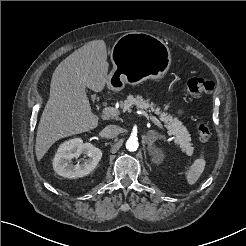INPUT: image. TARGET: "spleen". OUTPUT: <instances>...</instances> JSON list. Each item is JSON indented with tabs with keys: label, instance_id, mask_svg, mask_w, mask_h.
<instances>
[{
	"label": "spleen",
	"instance_id": "spleen-1",
	"mask_svg": "<svg viewBox=\"0 0 246 246\" xmlns=\"http://www.w3.org/2000/svg\"><path fill=\"white\" fill-rule=\"evenodd\" d=\"M204 154L201 152L200 158L196 159L194 163L185 172L186 179L190 185L196 183L205 168Z\"/></svg>",
	"mask_w": 246,
	"mask_h": 246
}]
</instances>
